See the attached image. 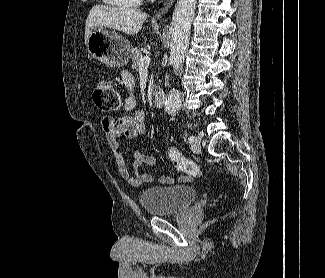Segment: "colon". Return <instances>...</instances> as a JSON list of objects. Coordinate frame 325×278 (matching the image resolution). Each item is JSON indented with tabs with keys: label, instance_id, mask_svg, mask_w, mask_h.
I'll use <instances>...</instances> for the list:
<instances>
[{
	"label": "colon",
	"instance_id": "1",
	"mask_svg": "<svg viewBox=\"0 0 325 278\" xmlns=\"http://www.w3.org/2000/svg\"><path fill=\"white\" fill-rule=\"evenodd\" d=\"M92 97L96 107L103 112L116 111L121 106V95L119 91L107 80L97 82ZM167 155L174 167L185 173V180L202 176L203 172L201 168L194 162L186 159L174 146L168 147Z\"/></svg>",
	"mask_w": 325,
	"mask_h": 278
}]
</instances>
